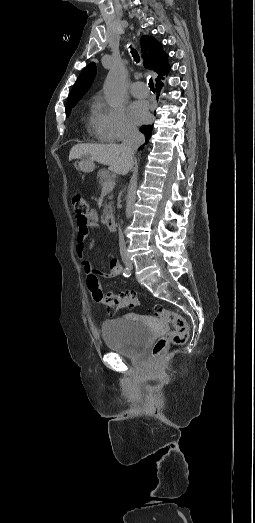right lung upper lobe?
<instances>
[{
  "label": "right lung upper lobe",
  "instance_id": "right-lung-upper-lobe-1",
  "mask_svg": "<svg viewBox=\"0 0 255 523\" xmlns=\"http://www.w3.org/2000/svg\"><path fill=\"white\" fill-rule=\"evenodd\" d=\"M140 44L145 68L153 70L158 74L156 78V89L159 92L162 87L161 79H164L162 76L168 74L170 71V66L167 62L168 54L163 51L162 44L152 36H143L140 39ZM95 75L96 65L90 63L79 75L69 94L67 102H78L92 85ZM152 130L153 125H143L140 128V131L145 135L146 143H148Z\"/></svg>",
  "mask_w": 255,
  "mask_h": 523
}]
</instances>
